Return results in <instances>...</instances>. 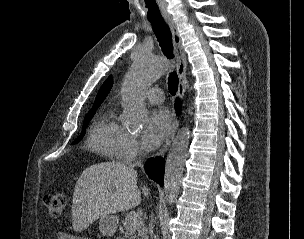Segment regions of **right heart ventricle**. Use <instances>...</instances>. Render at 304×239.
I'll list each match as a JSON object with an SVG mask.
<instances>
[{
    "label": "right heart ventricle",
    "mask_w": 304,
    "mask_h": 239,
    "mask_svg": "<svg viewBox=\"0 0 304 239\" xmlns=\"http://www.w3.org/2000/svg\"><path fill=\"white\" fill-rule=\"evenodd\" d=\"M123 130L110 113H105L90 127L87 145L107 157L115 158L118 156L117 143Z\"/></svg>",
    "instance_id": "1"
}]
</instances>
